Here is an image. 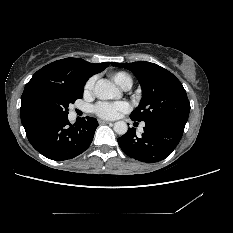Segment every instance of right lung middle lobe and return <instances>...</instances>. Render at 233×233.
<instances>
[{
    "label": "right lung middle lobe",
    "mask_w": 233,
    "mask_h": 233,
    "mask_svg": "<svg viewBox=\"0 0 233 233\" xmlns=\"http://www.w3.org/2000/svg\"><path fill=\"white\" fill-rule=\"evenodd\" d=\"M84 86H53L40 90L33 101V108L42 121L66 118L68 106L83 97Z\"/></svg>",
    "instance_id": "1"
}]
</instances>
